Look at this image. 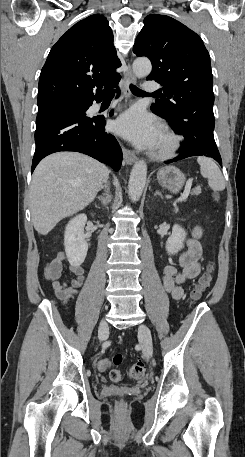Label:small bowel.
<instances>
[{
	"label": "small bowel",
	"mask_w": 245,
	"mask_h": 457,
	"mask_svg": "<svg viewBox=\"0 0 245 457\" xmlns=\"http://www.w3.org/2000/svg\"><path fill=\"white\" fill-rule=\"evenodd\" d=\"M202 235V228L196 226L192 232V237L187 240V249L179 258V267L167 265L162 272V283L165 291L174 299L183 296L182 285L190 279L195 278L200 273L199 259L202 255V247L199 239ZM66 257L63 252H59L51 259L44 268V277L51 284L54 294L64 303H67L82 286L84 270L81 266L70 264L68 270L73 274L69 281L62 280L65 270Z\"/></svg>",
	"instance_id": "1"
}]
</instances>
